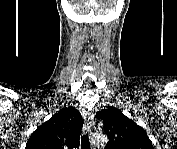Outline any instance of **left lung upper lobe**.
Segmentation results:
<instances>
[{
	"label": "left lung upper lobe",
	"mask_w": 177,
	"mask_h": 149,
	"mask_svg": "<svg viewBox=\"0 0 177 149\" xmlns=\"http://www.w3.org/2000/svg\"><path fill=\"white\" fill-rule=\"evenodd\" d=\"M109 138L106 149H153L145 130L126 117L119 109L109 107L97 114Z\"/></svg>",
	"instance_id": "1"
}]
</instances>
